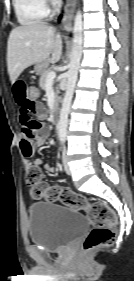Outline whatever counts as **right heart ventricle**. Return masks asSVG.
Instances as JSON below:
<instances>
[{
	"label": "right heart ventricle",
	"mask_w": 134,
	"mask_h": 281,
	"mask_svg": "<svg viewBox=\"0 0 134 281\" xmlns=\"http://www.w3.org/2000/svg\"><path fill=\"white\" fill-rule=\"evenodd\" d=\"M16 17L22 25H33L48 16L46 0H13Z\"/></svg>",
	"instance_id": "e07e8e85"
}]
</instances>
